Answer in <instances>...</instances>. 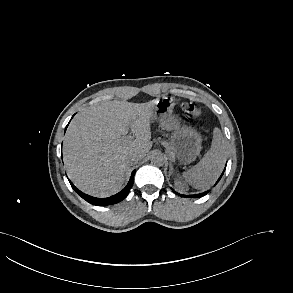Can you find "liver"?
<instances>
[{"instance_id": "6515ba94", "label": "liver", "mask_w": 293, "mask_h": 293, "mask_svg": "<svg viewBox=\"0 0 293 293\" xmlns=\"http://www.w3.org/2000/svg\"><path fill=\"white\" fill-rule=\"evenodd\" d=\"M159 99L146 103L106 101L82 109L71 121L63 144L70 179L99 197L117 193L128 168L127 157L151 149L150 120ZM129 128L135 138L126 139Z\"/></svg>"}]
</instances>
